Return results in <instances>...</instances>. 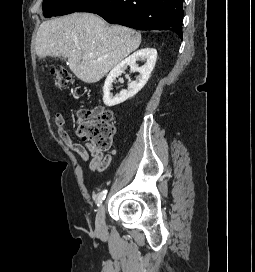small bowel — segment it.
<instances>
[{
    "mask_svg": "<svg viewBox=\"0 0 255 272\" xmlns=\"http://www.w3.org/2000/svg\"><path fill=\"white\" fill-rule=\"evenodd\" d=\"M55 124L59 137L82 161H88L91 157L89 162L90 170L103 172L109 167L113 159V153L103 154L91 146H84L74 141L66 127L65 118L61 113L55 115Z\"/></svg>",
    "mask_w": 255,
    "mask_h": 272,
    "instance_id": "small-bowel-1",
    "label": "small bowel"
}]
</instances>
